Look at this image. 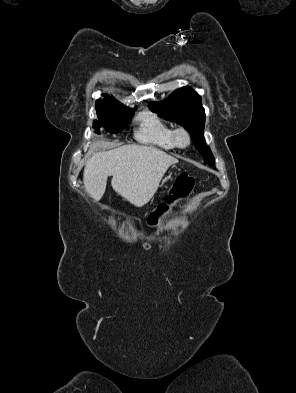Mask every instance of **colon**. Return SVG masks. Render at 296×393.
I'll return each mask as SVG.
<instances>
[{
    "instance_id": "5ec220e1",
    "label": "colon",
    "mask_w": 296,
    "mask_h": 393,
    "mask_svg": "<svg viewBox=\"0 0 296 393\" xmlns=\"http://www.w3.org/2000/svg\"><path fill=\"white\" fill-rule=\"evenodd\" d=\"M193 187L194 179L192 177L186 173L179 174L173 183L170 194L166 196L165 201L150 214L148 218L149 225H156L162 218L170 214L180 202L189 196Z\"/></svg>"
}]
</instances>
